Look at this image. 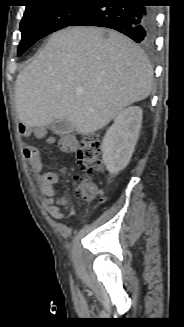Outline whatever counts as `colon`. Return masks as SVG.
<instances>
[{
  "mask_svg": "<svg viewBox=\"0 0 184 327\" xmlns=\"http://www.w3.org/2000/svg\"><path fill=\"white\" fill-rule=\"evenodd\" d=\"M101 141L97 134L86 135L79 143L77 151V163L79 168L86 174L92 175L102 170L100 159ZM76 196L90 201L99 194L98 188L88 179L78 178L75 186Z\"/></svg>",
  "mask_w": 184,
  "mask_h": 327,
  "instance_id": "colon-1",
  "label": "colon"
}]
</instances>
